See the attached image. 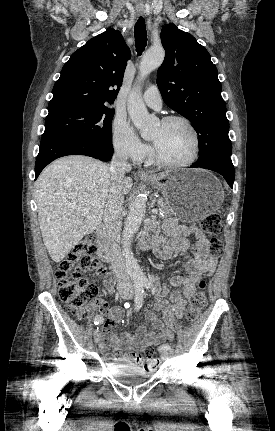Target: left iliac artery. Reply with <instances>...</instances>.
<instances>
[{
    "label": "left iliac artery",
    "mask_w": 275,
    "mask_h": 431,
    "mask_svg": "<svg viewBox=\"0 0 275 431\" xmlns=\"http://www.w3.org/2000/svg\"><path fill=\"white\" fill-rule=\"evenodd\" d=\"M142 284L147 289L151 288V282L148 279L143 280ZM169 349H171L170 344H163L162 346H160L159 351L163 352V351L169 350Z\"/></svg>",
    "instance_id": "1"
}]
</instances>
